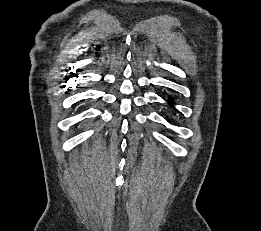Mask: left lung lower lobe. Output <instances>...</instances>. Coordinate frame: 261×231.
Listing matches in <instances>:
<instances>
[{
	"mask_svg": "<svg viewBox=\"0 0 261 231\" xmlns=\"http://www.w3.org/2000/svg\"><path fill=\"white\" fill-rule=\"evenodd\" d=\"M172 100H173V98H172V97H170L168 101H169V102H172Z\"/></svg>",
	"mask_w": 261,
	"mask_h": 231,
	"instance_id": "left-lung-lower-lobe-1",
	"label": "left lung lower lobe"
}]
</instances>
